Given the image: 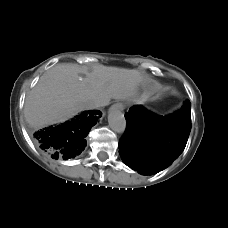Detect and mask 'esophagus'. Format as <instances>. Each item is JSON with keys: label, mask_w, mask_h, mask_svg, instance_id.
Here are the masks:
<instances>
[{"label": "esophagus", "mask_w": 228, "mask_h": 228, "mask_svg": "<svg viewBox=\"0 0 228 228\" xmlns=\"http://www.w3.org/2000/svg\"><path fill=\"white\" fill-rule=\"evenodd\" d=\"M124 108H125V106L122 103H120V102L115 103L114 105H112V109H115V110L122 111Z\"/></svg>", "instance_id": "esophagus-1"}]
</instances>
